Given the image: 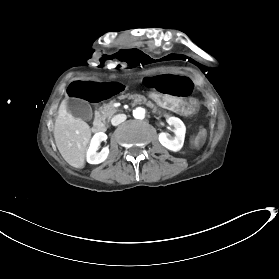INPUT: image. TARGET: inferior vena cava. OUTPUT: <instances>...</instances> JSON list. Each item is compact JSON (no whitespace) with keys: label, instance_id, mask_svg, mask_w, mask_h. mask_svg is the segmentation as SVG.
I'll list each match as a JSON object with an SVG mask.
<instances>
[{"label":"inferior vena cava","instance_id":"inferior-vena-cava-1","mask_svg":"<svg viewBox=\"0 0 279 279\" xmlns=\"http://www.w3.org/2000/svg\"><path fill=\"white\" fill-rule=\"evenodd\" d=\"M126 119V116L124 114H119L117 116H115L114 118H112L111 122L114 126L120 124L121 122H123Z\"/></svg>","mask_w":279,"mask_h":279}]
</instances>
